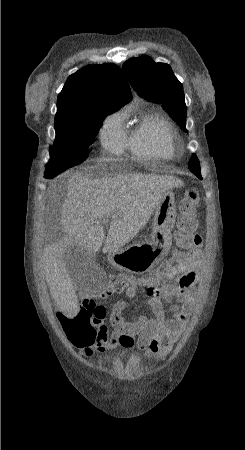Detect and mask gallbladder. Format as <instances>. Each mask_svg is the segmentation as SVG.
<instances>
[{
  "label": "gallbladder",
  "instance_id": "gallbladder-1",
  "mask_svg": "<svg viewBox=\"0 0 245 450\" xmlns=\"http://www.w3.org/2000/svg\"><path fill=\"white\" fill-rule=\"evenodd\" d=\"M67 270L77 288L80 275L96 262V255L77 245L70 246L64 256Z\"/></svg>",
  "mask_w": 245,
  "mask_h": 450
}]
</instances>
